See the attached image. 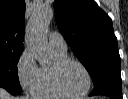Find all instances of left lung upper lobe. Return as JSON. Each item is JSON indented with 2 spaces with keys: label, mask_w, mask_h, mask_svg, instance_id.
Wrapping results in <instances>:
<instances>
[{
  "label": "left lung upper lobe",
  "mask_w": 128,
  "mask_h": 99,
  "mask_svg": "<svg viewBox=\"0 0 128 99\" xmlns=\"http://www.w3.org/2000/svg\"><path fill=\"white\" fill-rule=\"evenodd\" d=\"M54 10L61 34L94 84L105 73L120 72L111 18L94 0H56Z\"/></svg>",
  "instance_id": "left-lung-upper-lobe-1"
}]
</instances>
